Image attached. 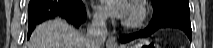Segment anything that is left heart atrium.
<instances>
[{"label": "left heart atrium", "mask_w": 213, "mask_h": 48, "mask_svg": "<svg viewBox=\"0 0 213 48\" xmlns=\"http://www.w3.org/2000/svg\"><path fill=\"white\" fill-rule=\"evenodd\" d=\"M98 8L106 15L113 18L126 19L129 6L126 0H102Z\"/></svg>", "instance_id": "39dd6f15"}]
</instances>
